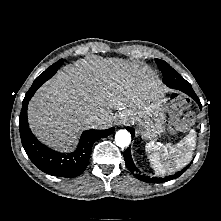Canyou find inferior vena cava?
<instances>
[{"label":"inferior vena cava","mask_w":221,"mask_h":221,"mask_svg":"<svg viewBox=\"0 0 221 221\" xmlns=\"http://www.w3.org/2000/svg\"><path fill=\"white\" fill-rule=\"evenodd\" d=\"M98 120H99L98 116L91 115V116L88 117L87 123L93 124V123L97 122Z\"/></svg>","instance_id":"inferior-vena-cava-1"}]
</instances>
